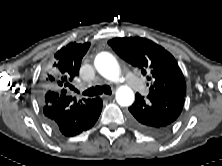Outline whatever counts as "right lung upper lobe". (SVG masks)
Wrapping results in <instances>:
<instances>
[{
  "label": "right lung upper lobe",
  "mask_w": 222,
  "mask_h": 166,
  "mask_svg": "<svg viewBox=\"0 0 222 166\" xmlns=\"http://www.w3.org/2000/svg\"><path fill=\"white\" fill-rule=\"evenodd\" d=\"M89 47L90 43L71 42L58 50L47 74L45 90L66 96V88L78 75L82 58Z\"/></svg>",
  "instance_id": "cb5924a9"
}]
</instances>
